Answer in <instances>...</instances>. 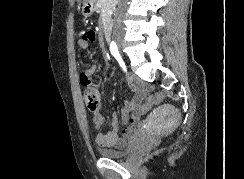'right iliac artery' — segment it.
<instances>
[{
    "instance_id": "obj_1",
    "label": "right iliac artery",
    "mask_w": 244,
    "mask_h": 179,
    "mask_svg": "<svg viewBox=\"0 0 244 179\" xmlns=\"http://www.w3.org/2000/svg\"><path fill=\"white\" fill-rule=\"evenodd\" d=\"M110 52L117 60H119L120 54L118 51V47L114 41H112L110 44Z\"/></svg>"
}]
</instances>
